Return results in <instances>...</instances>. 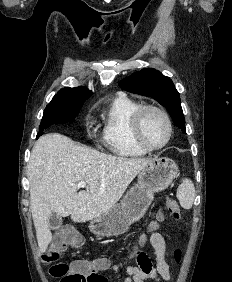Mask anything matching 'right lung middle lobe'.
Returning a JSON list of instances; mask_svg holds the SVG:
<instances>
[{
	"instance_id": "1",
	"label": "right lung middle lobe",
	"mask_w": 232,
	"mask_h": 282,
	"mask_svg": "<svg viewBox=\"0 0 232 282\" xmlns=\"http://www.w3.org/2000/svg\"><path fill=\"white\" fill-rule=\"evenodd\" d=\"M87 99L52 100L45 108L37 138L52 124L73 122Z\"/></svg>"
}]
</instances>
